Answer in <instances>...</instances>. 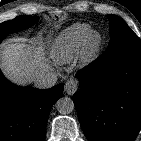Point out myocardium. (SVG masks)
I'll return each instance as SVG.
<instances>
[{"label": "myocardium", "mask_w": 141, "mask_h": 141, "mask_svg": "<svg viewBox=\"0 0 141 141\" xmlns=\"http://www.w3.org/2000/svg\"><path fill=\"white\" fill-rule=\"evenodd\" d=\"M103 45V38L97 31L91 30L84 41L80 52V59L83 63L88 64L92 62L99 54Z\"/></svg>", "instance_id": "f54148a6"}]
</instances>
